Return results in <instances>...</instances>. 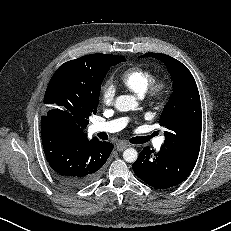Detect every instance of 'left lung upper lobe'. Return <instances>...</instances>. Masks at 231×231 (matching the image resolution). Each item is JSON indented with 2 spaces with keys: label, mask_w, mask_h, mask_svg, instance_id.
<instances>
[{
  "label": "left lung upper lobe",
  "mask_w": 231,
  "mask_h": 231,
  "mask_svg": "<svg viewBox=\"0 0 231 231\" xmlns=\"http://www.w3.org/2000/svg\"><path fill=\"white\" fill-rule=\"evenodd\" d=\"M166 65L173 81V91L162 111L160 124L166 128L163 147L182 154L198 156L201 145V102L196 82L188 68L161 53H145Z\"/></svg>",
  "instance_id": "left-lung-upper-lobe-1"
}]
</instances>
